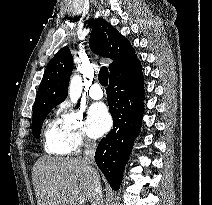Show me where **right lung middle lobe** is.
I'll use <instances>...</instances> for the list:
<instances>
[{
	"instance_id": "1",
	"label": "right lung middle lobe",
	"mask_w": 212,
	"mask_h": 205,
	"mask_svg": "<svg viewBox=\"0 0 212 205\" xmlns=\"http://www.w3.org/2000/svg\"><path fill=\"white\" fill-rule=\"evenodd\" d=\"M56 105H43L33 109L32 132L38 138L45 117Z\"/></svg>"
}]
</instances>
